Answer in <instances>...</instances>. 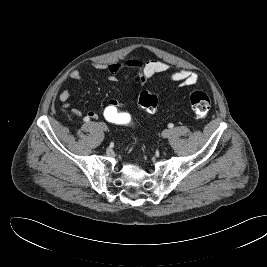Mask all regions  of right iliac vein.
Instances as JSON below:
<instances>
[{"label": "right iliac vein", "mask_w": 267, "mask_h": 267, "mask_svg": "<svg viewBox=\"0 0 267 267\" xmlns=\"http://www.w3.org/2000/svg\"><path fill=\"white\" fill-rule=\"evenodd\" d=\"M99 127L101 128V130H103V131H107L108 130V127H107V125L106 124H104V123H99Z\"/></svg>", "instance_id": "1"}]
</instances>
